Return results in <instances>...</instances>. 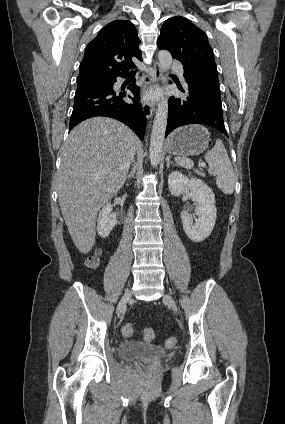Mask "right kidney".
Here are the masks:
<instances>
[{"label": "right kidney", "instance_id": "right-kidney-1", "mask_svg": "<svg viewBox=\"0 0 285 424\" xmlns=\"http://www.w3.org/2000/svg\"><path fill=\"white\" fill-rule=\"evenodd\" d=\"M112 205L109 202L102 207L97 221V232L100 237L106 238L117 224L116 216L111 214Z\"/></svg>", "mask_w": 285, "mask_h": 424}]
</instances>
